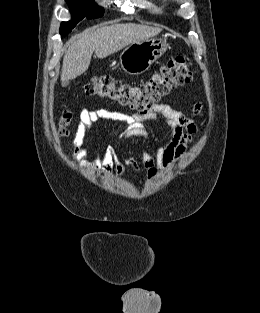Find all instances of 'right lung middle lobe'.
Returning <instances> with one entry per match:
<instances>
[{"label":"right lung middle lobe","mask_w":260,"mask_h":313,"mask_svg":"<svg viewBox=\"0 0 260 313\" xmlns=\"http://www.w3.org/2000/svg\"><path fill=\"white\" fill-rule=\"evenodd\" d=\"M71 11L72 20L62 22L60 27V34L66 36L75 25L85 16L88 19L97 18L103 15L104 10L98 7L94 0H66Z\"/></svg>","instance_id":"right-lung-middle-lobe-1"}]
</instances>
